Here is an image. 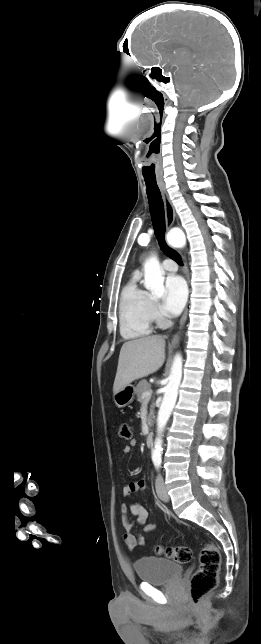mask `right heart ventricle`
Wrapping results in <instances>:
<instances>
[{"mask_svg": "<svg viewBox=\"0 0 261 644\" xmlns=\"http://www.w3.org/2000/svg\"><path fill=\"white\" fill-rule=\"evenodd\" d=\"M152 298L132 277L124 286L120 298V332L126 339L148 336L153 330Z\"/></svg>", "mask_w": 261, "mask_h": 644, "instance_id": "e07e8e85", "label": "right heart ventricle"}]
</instances>
